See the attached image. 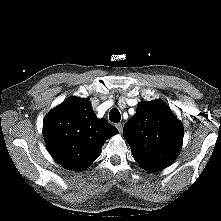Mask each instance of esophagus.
I'll return each mask as SVG.
<instances>
[{
  "instance_id": "esophagus-1",
  "label": "esophagus",
  "mask_w": 221,
  "mask_h": 221,
  "mask_svg": "<svg viewBox=\"0 0 221 221\" xmlns=\"http://www.w3.org/2000/svg\"><path fill=\"white\" fill-rule=\"evenodd\" d=\"M116 127L118 128L119 132H122L123 125L121 123L116 124Z\"/></svg>"
}]
</instances>
